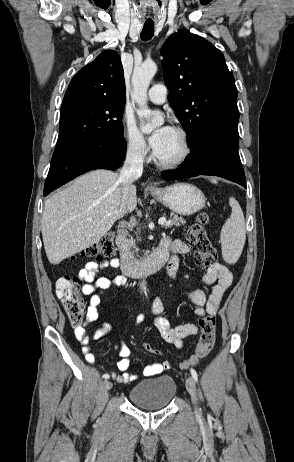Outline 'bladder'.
Instances as JSON below:
<instances>
[{
    "instance_id": "obj_1",
    "label": "bladder",
    "mask_w": 294,
    "mask_h": 462,
    "mask_svg": "<svg viewBox=\"0 0 294 462\" xmlns=\"http://www.w3.org/2000/svg\"><path fill=\"white\" fill-rule=\"evenodd\" d=\"M177 393V385L171 375H160L138 382L129 391V401L144 409H160L168 406Z\"/></svg>"
}]
</instances>
